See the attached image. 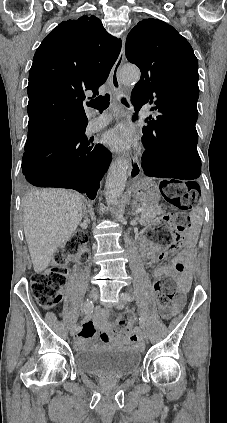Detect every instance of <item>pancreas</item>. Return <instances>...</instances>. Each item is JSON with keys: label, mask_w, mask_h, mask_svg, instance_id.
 I'll use <instances>...</instances> for the list:
<instances>
[{"label": "pancreas", "mask_w": 227, "mask_h": 423, "mask_svg": "<svg viewBox=\"0 0 227 423\" xmlns=\"http://www.w3.org/2000/svg\"><path fill=\"white\" fill-rule=\"evenodd\" d=\"M143 208L144 211H141L140 219V223H142V225H147L149 221H152L155 215H158V213H161L162 211L160 206H146V204H144Z\"/></svg>", "instance_id": "cf45deb5"}]
</instances>
